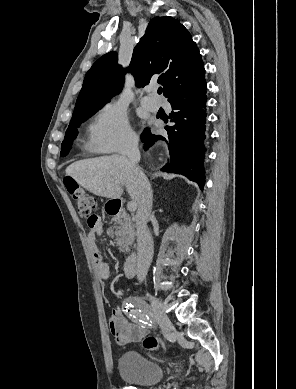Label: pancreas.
Segmentation results:
<instances>
[{
    "label": "pancreas",
    "instance_id": "cf45deb5",
    "mask_svg": "<svg viewBox=\"0 0 296 389\" xmlns=\"http://www.w3.org/2000/svg\"><path fill=\"white\" fill-rule=\"evenodd\" d=\"M114 227L111 229V235L116 236V244L119 250L129 251V245L133 242L135 236L134 224L130 217L122 212L119 216L112 219Z\"/></svg>",
    "mask_w": 296,
    "mask_h": 389
}]
</instances>
